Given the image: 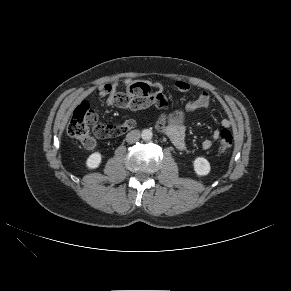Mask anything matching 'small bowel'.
Listing matches in <instances>:
<instances>
[{
  "label": "small bowel",
  "instance_id": "small-bowel-1",
  "mask_svg": "<svg viewBox=\"0 0 291 291\" xmlns=\"http://www.w3.org/2000/svg\"><path fill=\"white\" fill-rule=\"evenodd\" d=\"M121 83L114 82L100 87L97 90L99 96L106 97L105 104L108 107H118L128 110H141L150 106H155L160 110H164L167 105L166 96L163 88L159 84L152 86L128 79L123 83L124 90L121 91ZM175 89L181 93L191 91V86L185 81H177ZM211 102V96L208 91H202L193 100L188 102L184 110L175 111L169 115L161 114L156 127L159 131L164 133L174 145V147L181 152H187V145L185 142V119L190 113L208 107ZM224 128L231 126L230 119H223L221 122ZM213 139L219 137V131H214ZM94 146V142L92 147ZM201 146L207 150L212 146V140L205 139ZM91 148V147H88Z\"/></svg>",
  "mask_w": 291,
  "mask_h": 291
}]
</instances>
